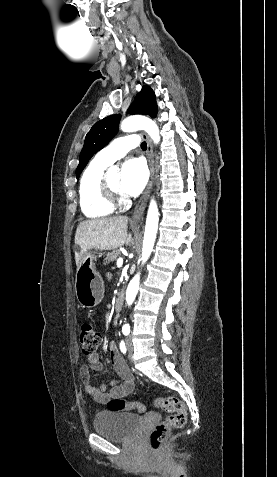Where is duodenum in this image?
<instances>
[{
  "label": "duodenum",
  "mask_w": 277,
  "mask_h": 477,
  "mask_svg": "<svg viewBox=\"0 0 277 477\" xmlns=\"http://www.w3.org/2000/svg\"><path fill=\"white\" fill-rule=\"evenodd\" d=\"M123 305H124V298L122 295H118L114 304L115 310L117 312H120L123 309Z\"/></svg>",
  "instance_id": "410a0bca"
}]
</instances>
